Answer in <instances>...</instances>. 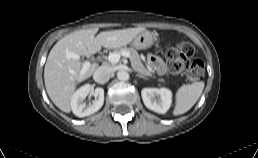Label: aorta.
<instances>
[{
  "instance_id": "1",
  "label": "aorta",
  "mask_w": 258,
  "mask_h": 158,
  "mask_svg": "<svg viewBox=\"0 0 258 158\" xmlns=\"http://www.w3.org/2000/svg\"><path fill=\"white\" fill-rule=\"evenodd\" d=\"M117 78L120 80V81H126L129 79V73L125 70H119L117 72Z\"/></svg>"
}]
</instances>
